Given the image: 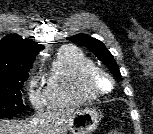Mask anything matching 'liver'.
Returning a JSON list of instances; mask_svg holds the SVG:
<instances>
[{
	"instance_id": "obj_1",
	"label": "liver",
	"mask_w": 153,
	"mask_h": 134,
	"mask_svg": "<svg viewBox=\"0 0 153 134\" xmlns=\"http://www.w3.org/2000/svg\"><path fill=\"white\" fill-rule=\"evenodd\" d=\"M76 111L70 108L49 112L28 122L0 121V134H66Z\"/></svg>"
}]
</instances>
